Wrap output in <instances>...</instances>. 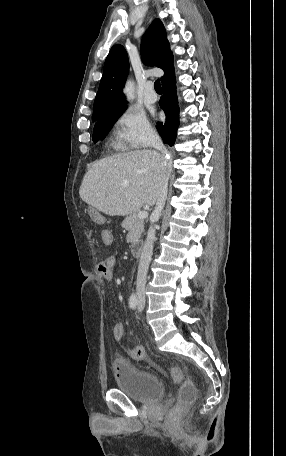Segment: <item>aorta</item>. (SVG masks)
Wrapping results in <instances>:
<instances>
[{
	"mask_svg": "<svg viewBox=\"0 0 286 456\" xmlns=\"http://www.w3.org/2000/svg\"><path fill=\"white\" fill-rule=\"evenodd\" d=\"M124 93L127 96L128 100L133 99L134 97V83L132 81H128L124 88Z\"/></svg>",
	"mask_w": 286,
	"mask_h": 456,
	"instance_id": "obj_1",
	"label": "aorta"
}]
</instances>
